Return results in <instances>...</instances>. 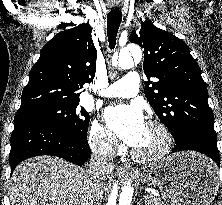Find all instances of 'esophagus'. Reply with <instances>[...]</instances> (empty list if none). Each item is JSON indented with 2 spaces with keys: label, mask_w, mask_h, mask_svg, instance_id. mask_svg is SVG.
I'll list each match as a JSON object with an SVG mask.
<instances>
[{
  "label": "esophagus",
  "mask_w": 222,
  "mask_h": 205,
  "mask_svg": "<svg viewBox=\"0 0 222 205\" xmlns=\"http://www.w3.org/2000/svg\"><path fill=\"white\" fill-rule=\"evenodd\" d=\"M117 170H118V171H124V170H125V165H119V166L117 167Z\"/></svg>",
  "instance_id": "34e87169"
}]
</instances>
